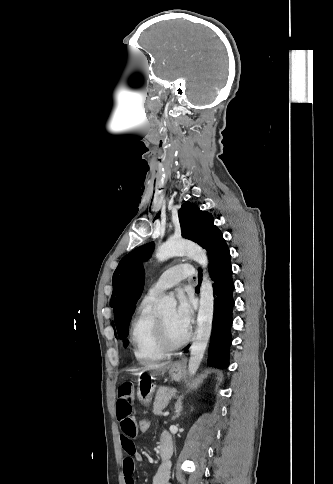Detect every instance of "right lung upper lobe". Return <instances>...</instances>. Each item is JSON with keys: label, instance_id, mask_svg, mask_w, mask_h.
I'll list each match as a JSON object with an SVG mask.
<instances>
[{"label": "right lung upper lobe", "instance_id": "obj_1", "mask_svg": "<svg viewBox=\"0 0 333 484\" xmlns=\"http://www.w3.org/2000/svg\"><path fill=\"white\" fill-rule=\"evenodd\" d=\"M143 286L144 269L142 264L139 263L128 270L116 296L114 316L118 334H120L124 324L130 320Z\"/></svg>", "mask_w": 333, "mask_h": 484}]
</instances>
